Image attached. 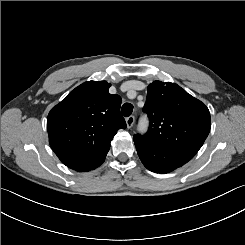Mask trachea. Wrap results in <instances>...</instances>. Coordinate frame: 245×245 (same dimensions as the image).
Here are the masks:
<instances>
[{"mask_svg": "<svg viewBox=\"0 0 245 245\" xmlns=\"http://www.w3.org/2000/svg\"><path fill=\"white\" fill-rule=\"evenodd\" d=\"M133 105L131 103H125L121 108V113L123 116L128 117L132 114Z\"/></svg>", "mask_w": 245, "mask_h": 245, "instance_id": "obj_1", "label": "trachea"}]
</instances>
